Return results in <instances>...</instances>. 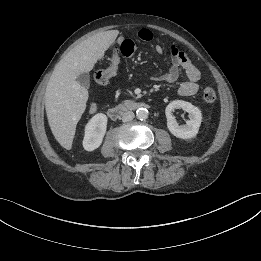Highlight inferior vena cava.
I'll use <instances>...</instances> for the list:
<instances>
[{
    "mask_svg": "<svg viewBox=\"0 0 261 261\" xmlns=\"http://www.w3.org/2000/svg\"><path fill=\"white\" fill-rule=\"evenodd\" d=\"M133 118H134V113H133L132 111H126V112H124V113L122 114V117H121V119H122L123 122L131 121V120H133Z\"/></svg>",
    "mask_w": 261,
    "mask_h": 261,
    "instance_id": "1",
    "label": "inferior vena cava"
}]
</instances>
